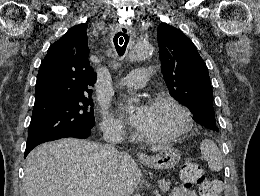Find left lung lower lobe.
<instances>
[{"instance_id":"left-lung-lower-lobe-1","label":"left lung lower lobe","mask_w":260,"mask_h":196,"mask_svg":"<svg viewBox=\"0 0 260 196\" xmlns=\"http://www.w3.org/2000/svg\"><path fill=\"white\" fill-rule=\"evenodd\" d=\"M194 120L202 126H208L215 122L213 107L205 106L193 112Z\"/></svg>"}]
</instances>
